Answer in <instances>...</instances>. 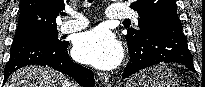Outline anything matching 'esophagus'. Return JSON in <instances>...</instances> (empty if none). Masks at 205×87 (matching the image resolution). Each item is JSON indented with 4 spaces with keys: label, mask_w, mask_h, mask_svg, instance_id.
<instances>
[{
    "label": "esophagus",
    "mask_w": 205,
    "mask_h": 87,
    "mask_svg": "<svg viewBox=\"0 0 205 87\" xmlns=\"http://www.w3.org/2000/svg\"><path fill=\"white\" fill-rule=\"evenodd\" d=\"M98 77H99V80H100L102 83H107V82L109 81L110 75H109V74H106V73H99V74H98Z\"/></svg>",
    "instance_id": "esophagus-1"
}]
</instances>
